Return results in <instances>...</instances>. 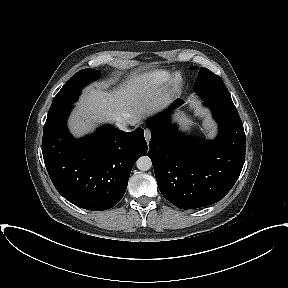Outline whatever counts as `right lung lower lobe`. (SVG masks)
I'll return each mask as SVG.
<instances>
[{
  "label": "right lung lower lobe",
  "instance_id": "obj_1",
  "mask_svg": "<svg viewBox=\"0 0 288 288\" xmlns=\"http://www.w3.org/2000/svg\"><path fill=\"white\" fill-rule=\"evenodd\" d=\"M72 105L49 116L43 129L42 153L56 190L87 210H108L123 197L131 169L147 154L144 130L127 133L111 125L75 139L66 119Z\"/></svg>",
  "mask_w": 288,
  "mask_h": 288
}]
</instances>
